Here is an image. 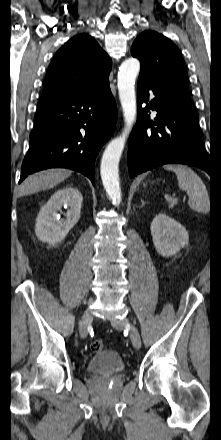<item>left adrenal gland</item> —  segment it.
Wrapping results in <instances>:
<instances>
[{
	"mask_svg": "<svg viewBox=\"0 0 221 440\" xmlns=\"http://www.w3.org/2000/svg\"><path fill=\"white\" fill-rule=\"evenodd\" d=\"M141 203H142L141 207L143 208L145 206L146 202L144 200H141Z\"/></svg>",
	"mask_w": 221,
	"mask_h": 440,
	"instance_id": "obj_1",
	"label": "left adrenal gland"
}]
</instances>
